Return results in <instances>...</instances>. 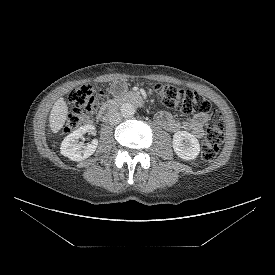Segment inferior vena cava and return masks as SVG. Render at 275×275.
<instances>
[{
	"instance_id": "obj_1",
	"label": "inferior vena cava",
	"mask_w": 275,
	"mask_h": 275,
	"mask_svg": "<svg viewBox=\"0 0 275 275\" xmlns=\"http://www.w3.org/2000/svg\"><path fill=\"white\" fill-rule=\"evenodd\" d=\"M122 120L121 114L119 112H114L109 116V124L116 125Z\"/></svg>"
}]
</instances>
